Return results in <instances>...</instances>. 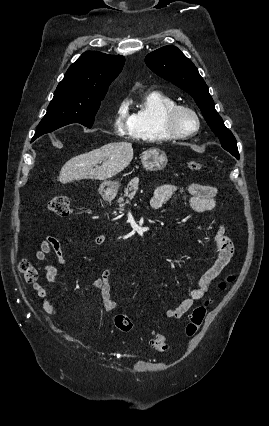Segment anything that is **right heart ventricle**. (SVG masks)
Returning a JSON list of instances; mask_svg holds the SVG:
<instances>
[{
    "label": "right heart ventricle",
    "instance_id": "1",
    "mask_svg": "<svg viewBox=\"0 0 269 426\" xmlns=\"http://www.w3.org/2000/svg\"><path fill=\"white\" fill-rule=\"evenodd\" d=\"M176 101L160 92L149 91L141 101V104L134 111L133 137L145 142L168 141L172 138L163 127L164 112L174 106Z\"/></svg>",
    "mask_w": 269,
    "mask_h": 426
}]
</instances>
